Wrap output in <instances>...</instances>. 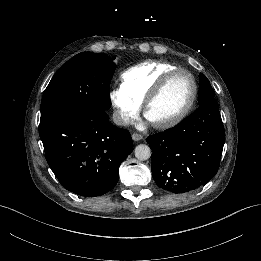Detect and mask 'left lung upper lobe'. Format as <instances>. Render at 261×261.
Here are the masks:
<instances>
[{
    "label": "left lung upper lobe",
    "mask_w": 261,
    "mask_h": 261,
    "mask_svg": "<svg viewBox=\"0 0 261 261\" xmlns=\"http://www.w3.org/2000/svg\"><path fill=\"white\" fill-rule=\"evenodd\" d=\"M215 92L204 74H200L199 106L215 101Z\"/></svg>",
    "instance_id": "1"
}]
</instances>
